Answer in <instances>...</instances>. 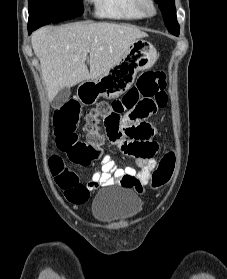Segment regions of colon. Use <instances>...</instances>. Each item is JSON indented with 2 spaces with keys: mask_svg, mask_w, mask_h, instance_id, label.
<instances>
[{
  "mask_svg": "<svg viewBox=\"0 0 227 279\" xmlns=\"http://www.w3.org/2000/svg\"><path fill=\"white\" fill-rule=\"evenodd\" d=\"M166 76L162 71L147 70L142 72L136 84L121 98L111 101H102L92 109L87 122L90 126L91 142L86 143L79 138L77 123L81 109L77 101L71 100L58 108L53 115L54 135L60 151L67 158L78 165L88 166L101 155V134L104 127L112 135L118 137L123 130L133 139L128 146V153L134 158H152L157 146L150 141L154 129L148 124L130 125V121L146 119L160 108L165 107L168 101ZM175 155L167 153L160 160L153 172L151 182L154 187L166 185L172 178L175 169ZM52 175L58 179L63 192L74 197L84 187L78 175L66 165L65 158L52 154L49 158ZM126 186H135L141 192L140 180L129 178L124 181Z\"/></svg>",
  "mask_w": 227,
  "mask_h": 279,
  "instance_id": "5ec220e1",
  "label": "colon"
}]
</instances>
